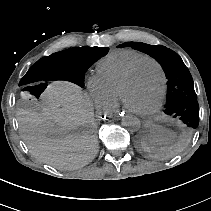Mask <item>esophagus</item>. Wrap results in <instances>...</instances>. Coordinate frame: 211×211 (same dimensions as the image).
Masks as SVG:
<instances>
[{"label":"esophagus","instance_id":"34e87169","mask_svg":"<svg viewBox=\"0 0 211 211\" xmlns=\"http://www.w3.org/2000/svg\"><path fill=\"white\" fill-rule=\"evenodd\" d=\"M126 115H127L126 112H124V111L121 110V111L117 112L115 116H116V118L119 119V118L126 117Z\"/></svg>","mask_w":211,"mask_h":211}]
</instances>
